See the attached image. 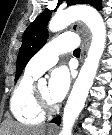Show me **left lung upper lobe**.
Returning <instances> with one entry per match:
<instances>
[{
  "label": "left lung upper lobe",
  "mask_w": 112,
  "mask_h": 135,
  "mask_svg": "<svg viewBox=\"0 0 112 135\" xmlns=\"http://www.w3.org/2000/svg\"><path fill=\"white\" fill-rule=\"evenodd\" d=\"M62 2L63 0H58V5ZM67 4L68 6L75 4H90L99 10L101 9L100 0H67ZM50 16L51 11H43L26 29L22 38V46L18 54L15 80L19 78L28 61L46 43L48 37L47 23L49 22Z\"/></svg>",
  "instance_id": "1"
}]
</instances>
